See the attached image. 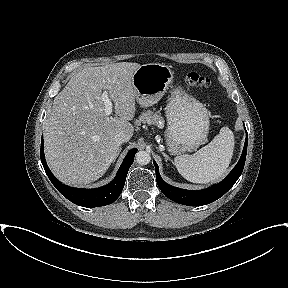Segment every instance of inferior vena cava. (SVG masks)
I'll return each instance as SVG.
<instances>
[{
	"label": "inferior vena cava",
	"mask_w": 288,
	"mask_h": 288,
	"mask_svg": "<svg viewBox=\"0 0 288 288\" xmlns=\"http://www.w3.org/2000/svg\"><path fill=\"white\" fill-rule=\"evenodd\" d=\"M114 139L118 144H122L123 142H125V137L120 134L115 135Z\"/></svg>",
	"instance_id": "inferior-vena-cava-1"
}]
</instances>
